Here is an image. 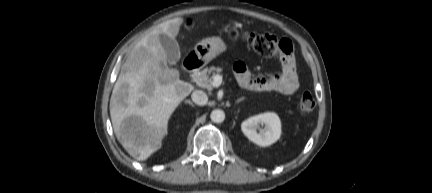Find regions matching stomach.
Here are the masks:
<instances>
[{
	"label": "stomach",
	"mask_w": 432,
	"mask_h": 193,
	"mask_svg": "<svg viewBox=\"0 0 432 193\" xmlns=\"http://www.w3.org/2000/svg\"><path fill=\"white\" fill-rule=\"evenodd\" d=\"M229 35L232 39L237 40L240 32L237 27L229 29ZM196 56L204 63L210 62L220 53L226 50L225 43L218 37L205 38L198 42L194 48Z\"/></svg>",
	"instance_id": "1"
}]
</instances>
